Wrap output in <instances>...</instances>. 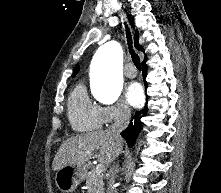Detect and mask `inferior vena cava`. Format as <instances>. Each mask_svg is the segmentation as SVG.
I'll list each match as a JSON object with an SVG mask.
<instances>
[{
	"label": "inferior vena cava",
	"instance_id": "1",
	"mask_svg": "<svg viewBox=\"0 0 221 193\" xmlns=\"http://www.w3.org/2000/svg\"><path fill=\"white\" fill-rule=\"evenodd\" d=\"M130 118V109L127 107H121L118 111L115 122L109 128L116 140H119L121 138L120 133L128 126ZM117 167L118 165H114L110 169V179L107 193H117V190L114 188Z\"/></svg>",
	"mask_w": 221,
	"mask_h": 193
}]
</instances>
